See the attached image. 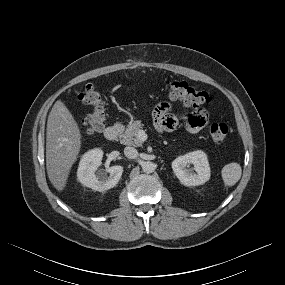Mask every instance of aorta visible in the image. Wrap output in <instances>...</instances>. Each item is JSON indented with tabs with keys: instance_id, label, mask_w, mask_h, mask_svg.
<instances>
[{
	"instance_id": "1",
	"label": "aorta",
	"mask_w": 285,
	"mask_h": 285,
	"mask_svg": "<svg viewBox=\"0 0 285 285\" xmlns=\"http://www.w3.org/2000/svg\"><path fill=\"white\" fill-rule=\"evenodd\" d=\"M156 169V165L151 161H146L142 163V170L145 173H152Z\"/></svg>"
}]
</instances>
